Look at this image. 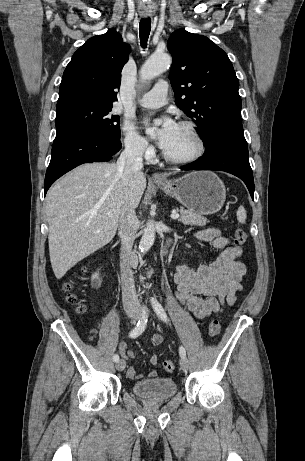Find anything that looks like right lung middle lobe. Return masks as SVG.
I'll use <instances>...</instances> for the list:
<instances>
[{
	"label": "right lung middle lobe",
	"instance_id": "1",
	"mask_svg": "<svg viewBox=\"0 0 305 461\" xmlns=\"http://www.w3.org/2000/svg\"><path fill=\"white\" fill-rule=\"evenodd\" d=\"M56 136L65 133H86L120 139V117L113 115L112 104L79 102L57 107Z\"/></svg>",
	"mask_w": 305,
	"mask_h": 461
}]
</instances>
